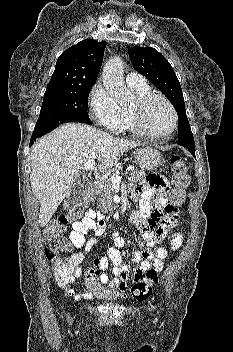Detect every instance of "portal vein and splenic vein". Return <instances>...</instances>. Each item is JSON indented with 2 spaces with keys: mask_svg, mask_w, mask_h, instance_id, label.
Here are the masks:
<instances>
[{
  "mask_svg": "<svg viewBox=\"0 0 233 352\" xmlns=\"http://www.w3.org/2000/svg\"><path fill=\"white\" fill-rule=\"evenodd\" d=\"M94 166H95V161L94 160H89V161L84 163V169L86 171L93 170ZM129 169L130 168H128V170ZM110 180H111L113 185H119L121 180H122V175H112L110 177Z\"/></svg>",
  "mask_w": 233,
  "mask_h": 352,
  "instance_id": "18ae733b",
  "label": "portal vein and splenic vein"
}]
</instances>
